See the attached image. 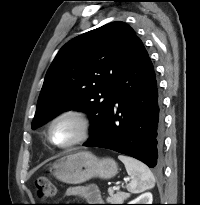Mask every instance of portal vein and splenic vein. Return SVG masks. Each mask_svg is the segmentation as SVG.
<instances>
[{"instance_id": "portal-vein-and-splenic-vein-1", "label": "portal vein and splenic vein", "mask_w": 200, "mask_h": 205, "mask_svg": "<svg viewBox=\"0 0 200 205\" xmlns=\"http://www.w3.org/2000/svg\"><path fill=\"white\" fill-rule=\"evenodd\" d=\"M113 189H114V190H117V189H118V187H117V186H114V187H113Z\"/></svg>"}]
</instances>
